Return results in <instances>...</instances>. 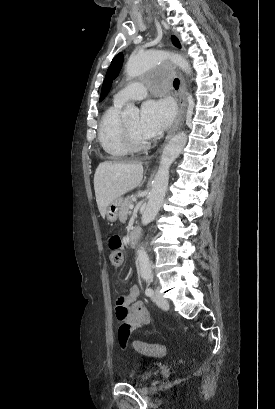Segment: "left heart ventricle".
I'll use <instances>...</instances> for the list:
<instances>
[{"instance_id": "left-heart-ventricle-1", "label": "left heart ventricle", "mask_w": 275, "mask_h": 409, "mask_svg": "<svg viewBox=\"0 0 275 409\" xmlns=\"http://www.w3.org/2000/svg\"><path fill=\"white\" fill-rule=\"evenodd\" d=\"M125 123L129 127L130 131L132 132L133 136L135 137V139L137 141H139L141 143L150 141V139L147 138L146 136H144L140 131V128H139L140 119H139V117L132 118V119H130L129 121H127Z\"/></svg>"}]
</instances>
